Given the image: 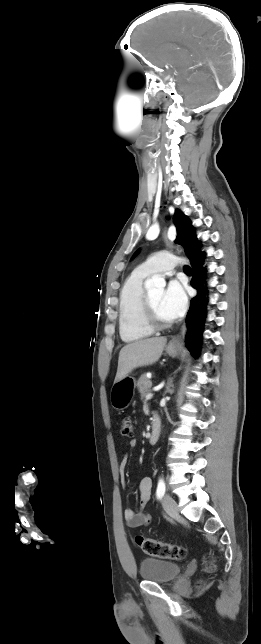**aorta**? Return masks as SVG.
<instances>
[{"label":"aorta","instance_id":"1","mask_svg":"<svg viewBox=\"0 0 261 644\" xmlns=\"http://www.w3.org/2000/svg\"><path fill=\"white\" fill-rule=\"evenodd\" d=\"M166 285V281L164 278L160 276H153L152 278H149L145 282V288L147 290H151L154 288H164Z\"/></svg>","mask_w":261,"mask_h":644}]
</instances>
